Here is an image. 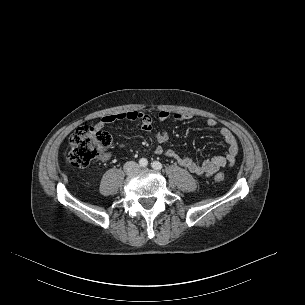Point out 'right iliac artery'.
Segmentation results:
<instances>
[{
  "mask_svg": "<svg viewBox=\"0 0 305 305\" xmlns=\"http://www.w3.org/2000/svg\"><path fill=\"white\" fill-rule=\"evenodd\" d=\"M139 165H140L141 167H146V166L148 165L147 159L141 158V159L139 160Z\"/></svg>",
  "mask_w": 305,
  "mask_h": 305,
  "instance_id": "82829eb1",
  "label": "right iliac artery"
}]
</instances>
